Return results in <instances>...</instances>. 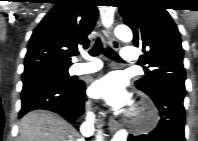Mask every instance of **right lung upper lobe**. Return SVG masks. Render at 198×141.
<instances>
[{"label":"right lung upper lobe","mask_w":198,"mask_h":141,"mask_svg":"<svg viewBox=\"0 0 198 141\" xmlns=\"http://www.w3.org/2000/svg\"><path fill=\"white\" fill-rule=\"evenodd\" d=\"M97 16L93 0H60L33 31L24 72L41 68H69L77 45L89 44L87 36Z\"/></svg>","instance_id":"right-lung-upper-lobe-1"}]
</instances>
